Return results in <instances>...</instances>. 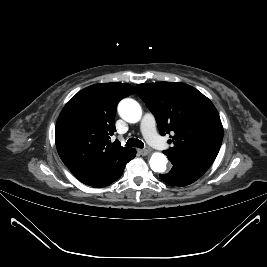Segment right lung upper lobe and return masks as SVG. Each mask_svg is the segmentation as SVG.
Here are the masks:
<instances>
[{
    "mask_svg": "<svg viewBox=\"0 0 267 267\" xmlns=\"http://www.w3.org/2000/svg\"><path fill=\"white\" fill-rule=\"evenodd\" d=\"M135 93L125 83L89 86L62 109L55 129L60 158L72 174L89 185L127 159L133 148L112 143L118 102Z\"/></svg>",
    "mask_w": 267,
    "mask_h": 267,
    "instance_id": "1",
    "label": "right lung upper lobe"
}]
</instances>
